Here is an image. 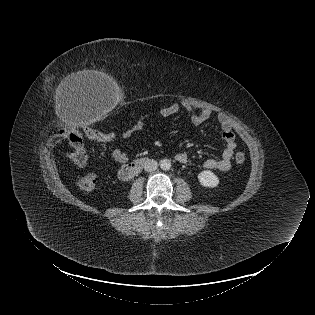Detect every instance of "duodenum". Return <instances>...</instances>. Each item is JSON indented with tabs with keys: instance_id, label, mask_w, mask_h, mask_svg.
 I'll return each mask as SVG.
<instances>
[{
	"instance_id": "1",
	"label": "duodenum",
	"mask_w": 315,
	"mask_h": 315,
	"mask_svg": "<svg viewBox=\"0 0 315 315\" xmlns=\"http://www.w3.org/2000/svg\"><path fill=\"white\" fill-rule=\"evenodd\" d=\"M145 161H146L145 158H139V159H136V160L124 165L119 170V177L123 181H128V180L132 179L136 174H138L141 171Z\"/></svg>"
}]
</instances>
